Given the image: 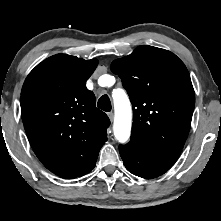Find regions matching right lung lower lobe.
<instances>
[{"mask_svg":"<svg viewBox=\"0 0 221 221\" xmlns=\"http://www.w3.org/2000/svg\"><path fill=\"white\" fill-rule=\"evenodd\" d=\"M95 164H96V160L89 166V168L86 170L84 174H87L88 172H90L95 167Z\"/></svg>","mask_w":221,"mask_h":221,"instance_id":"1","label":"right lung lower lobe"}]
</instances>
